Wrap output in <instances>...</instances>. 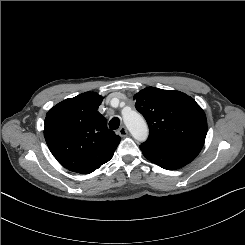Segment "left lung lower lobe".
I'll list each match as a JSON object with an SVG mask.
<instances>
[{"mask_svg":"<svg viewBox=\"0 0 245 245\" xmlns=\"http://www.w3.org/2000/svg\"><path fill=\"white\" fill-rule=\"evenodd\" d=\"M140 149L148 160L168 170L179 169L196 158L193 155L169 149L148 140L140 146Z\"/></svg>","mask_w":245,"mask_h":245,"instance_id":"0a47b994","label":"left lung lower lobe"}]
</instances>
